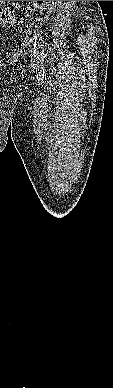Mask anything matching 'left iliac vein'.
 <instances>
[{
    "mask_svg": "<svg viewBox=\"0 0 113 388\" xmlns=\"http://www.w3.org/2000/svg\"><path fill=\"white\" fill-rule=\"evenodd\" d=\"M30 54L31 56H36V52L33 48H30Z\"/></svg>",
    "mask_w": 113,
    "mask_h": 388,
    "instance_id": "1",
    "label": "left iliac vein"
}]
</instances>
